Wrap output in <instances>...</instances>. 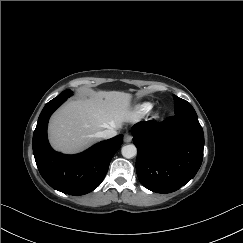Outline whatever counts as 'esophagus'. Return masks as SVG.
I'll return each mask as SVG.
<instances>
[{
  "mask_svg": "<svg viewBox=\"0 0 243 243\" xmlns=\"http://www.w3.org/2000/svg\"><path fill=\"white\" fill-rule=\"evenodd\" d=\"M133 136L130 133L124 134V142L129 143L132 141Z\"/></svg>",
  "mask_w": 243,
  "mask_h": 243,
  "instance_id": "34e87169",
  "label": "esophagus"
}]
</instances>
